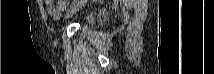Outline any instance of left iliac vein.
Wrapping results in <instances>:
<instances>
[{
	"instance_id": "left-iliac-vein-1",
	"label": "left iliac vein",
	"mask_w": 214,
	"mask_h": 74,
	"mask_svg": "<svg viewBox=\"0 0 214 74\" xmlns=\"http://www.w3.org/2000/svg\"><path fill=\"white\" fill-rule=\"evenodd\" d=\"M85 3V1H79L77 4H75L73 7H71L69 9V11L67 12L66 18L71 17L72 15H74Z\"/></svg>"
}]
</instances>
